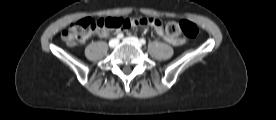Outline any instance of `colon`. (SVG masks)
<instances>
[{
  "label": "colon",
  "mask_w": 276,
  "mask_h": 120,
  "mask_svg": "<svg viewBox=\"0 0 276 120\" xmlns=\"http://www.w3.org/2000/svg\"><path fill=\"white\" fill-rule=\"evenodd\" d=\"M157 20L155 18H119V17H106V18H83L70 24L62 32V40L70 46L76 45L79 41L90 33L101 32L107 30H119L130 28L132 26L151 25ZM165 31L169 36H176L183 34L190 39H195L198 35L197 26L188 20L180 22L169 21L165 26Z\"/></svg>",
  "instance_id": "colon-1"
}]
</instances>
